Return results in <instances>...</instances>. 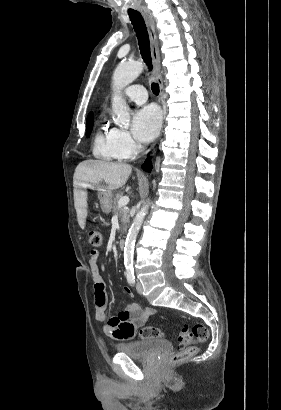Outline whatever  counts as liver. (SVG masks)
Here are the masks:
<instances>
[{
	"mask_svg": "<svg viewBox=\"0 0 281 410\" xmlns=\"http://www.w3.org/2000/svg\"><path fill=\"white\" fill-rule=\"evenodd\" d=\"M131 171L132 167L129 164L93 159L82 161L76 167L73 176L74 205L81 229L85 228L88 215L87 192L84 189L98 186L104 181L107 190H116L127 182Z\"/></svg>",
	"mask_w": 281,
	"mask_h": 410,
	"instance_id": "1",
	"label": "liver"
}]
</instances>
